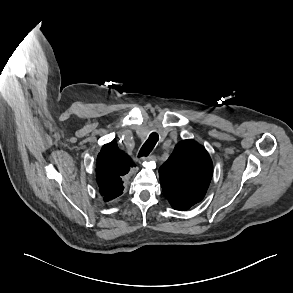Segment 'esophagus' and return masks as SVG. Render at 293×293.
Returning a JSON list of instances; mask_svg holds the SVG:
<instances>
[{"label":"esophagus","instance_id":"1","mask_svg":"<svg viewBox=\"0 0 293 293\" xmlns=\"http://www.w3.org/2000/svg\"><path fill=\"white\" fill-rule=\"evenodd\" d=\"M156 160V157L154 155H150V156H147V157H143L141 159V161H154Z\"/></svg>","mask_w":293,"mask_h":293}]
</instances>
